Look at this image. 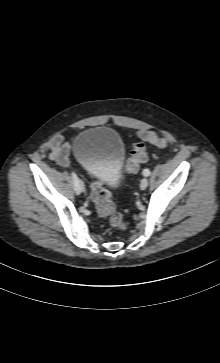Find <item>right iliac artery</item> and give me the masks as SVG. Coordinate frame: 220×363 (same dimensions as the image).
Listing matches in <instances>:
<instances>
[{
  "mask_svg": "<svg viewBox=\"0 0 220 363\" xmlns=\"http://www.w3.org/2000/svg\"><path fill=\"white\" fill-rule=\"evenodd\" d=\"M71 175H72V180H73V184H74V190L77 194H79L81 192L80 191V180L77 177V175L75 174V172L72 171Z\"/></svg>",
  "mask_w": 220,
  "mask_h": 363,
  "instance_id": "obj_1",
  "label": "right iliac artery"
}]
</instances>
